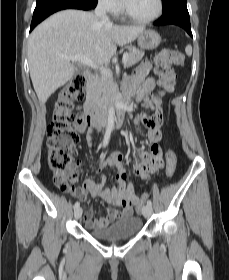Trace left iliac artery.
<instances>
[{
    "instance_id": "left-iliac-artery-1",
    "label": "left iliac artery",
    "mask_w": 229,
    "mask_h": 280,
    "mask_svg": "<svg viewBox=\"0 0 229 280\" xmlns=\"http://www.w3.org/2000/svg\"><path fill=\"white\" fill-rule=\"evenodd\" d=\"M147 205L152 206L151 200H148V201H147Z\"/></svg>"
}]
</instances>
